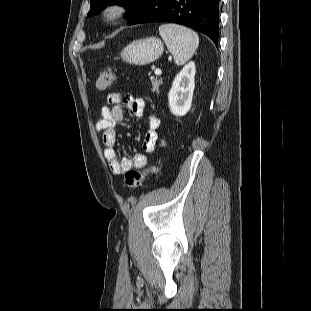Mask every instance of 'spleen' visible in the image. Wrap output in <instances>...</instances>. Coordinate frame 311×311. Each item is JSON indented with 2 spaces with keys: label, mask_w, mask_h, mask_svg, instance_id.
Segmentation results:
<instances>
[{
  "label": "spleen",
  "mask_w": 311,
  "mask_h": 311,
  "mask_svg": "<svg viewBox=\"0 0 311 311\" xmlns=\"http://www.w3.org/2000/svg\"><path fill=\"white\" fill-rule=\"evenodd\" d=\"M159 33L177 65L185 64L198 48L197 33L187 27L163 24L159 27Z\"/></svg>",
  "instance_id": "obj_1"
}]
</instances>
